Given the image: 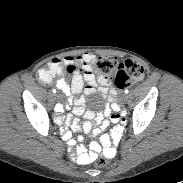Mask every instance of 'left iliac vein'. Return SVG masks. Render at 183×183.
Returning a JSON list of instances; mask_svg holds the SVG:
<instances>
[{
	"mask_svg": "<svg viewBox=\"0 0 183 183\" xmlns=\"http://www.w3.org/2000/svg\"><path fill=\"white\" fill-rule=\"evenodd\" d=\"M126 100H127V95L123 94V96H122V101H123V102H126Z\"/></svg>",
	"mask_w": 183,
	"mask_h": 183,
	"instance_id": "left-iliac-vein-1",
	"label": "left iliac vein"
}]
</instances>
